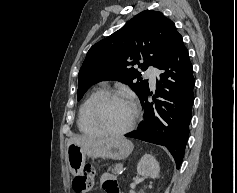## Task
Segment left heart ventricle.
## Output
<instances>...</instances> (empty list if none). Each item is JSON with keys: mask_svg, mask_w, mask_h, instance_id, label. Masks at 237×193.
Here are the masks:
<instances>
[{"mask_svg": "<svg viewBox=\"0 0 237 193\" xmlns=\"http://www.w3.org/2000/svg\"><path fill=\"white\" fill-rule=\"evenodd\" d=\"M97 118L99 124L107 130H122L133 118V107L125 100L108 99L99 108Z\"/></svg>", "mask_w": 237, "mask_h": 193, "instance_id": "b2bd125f", "label": "left heart ventricle"}]
</instances>
